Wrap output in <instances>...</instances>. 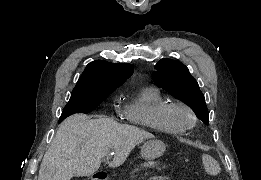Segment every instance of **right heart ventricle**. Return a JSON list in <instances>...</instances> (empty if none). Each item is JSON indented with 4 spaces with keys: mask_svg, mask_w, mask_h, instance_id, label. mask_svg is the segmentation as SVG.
Instances as JSON below:
<instances>
[{
    "mask_svg": "<svg viewBox=\"0 0 261 180\" xmlns=\"http://www.w3.org/2000/svg\"><path fill=\"white\" fill-rule=\"evenodd\" d=\"M167 98L156 88H143L137 95L123 103L121 121H131V127H144V131L158 133V138H140L178 142L186 136L185 131L166 128L161 110L168 104Z\"/></svg>",
    "mask_w": 261,
    "mask_h": 180,
    "instance_id": "e07e8e85",
    "label": "right heart ventricle"
}]
</instances>
